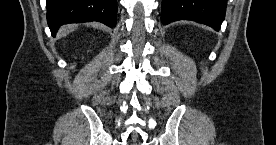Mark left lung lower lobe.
<instances>
[{"instance_id":"1","label":"left lung lower lobe","mask_w":276,"mask_h":145,"mask_svg":"<svg viewBox=\"0 0 276 145\" xmlns=\"http://www.w3.org/2000/svg\"><path fill=\"white\" fill-rule=\"evenodd\" d=\"M227 0H162L161 21L167 25L187 19L218 31L225 18Z\"/></svg>"}]
</instances>
